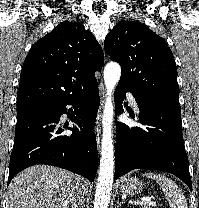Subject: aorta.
Masks as SVG:
<instances>
[{
	"mask_svg": "<svg viewBox=\"0 0 199 208\" xmlns=\"http://www.w3.org/2000/svg\"><path fill=\"white\" fill-rule=\"evenodd\" d=\"M121 67L116 62L108 63L104 68V82L107 91L103 110V135L101 141V160L93 202L94 208H108L114 178V146L112 140V122L114 115L113 91L120 80Z\"/></svg>",
	"mask_w": 199,
	"mask_h": 208,
	"instance_id": "obj_1",
	"label": "aorta"
}]
</instances>
